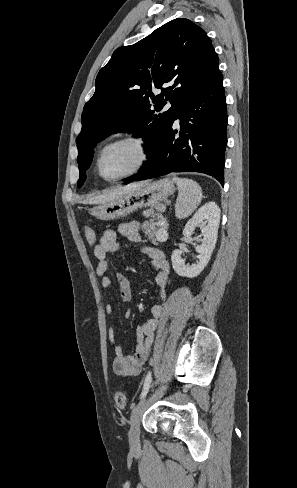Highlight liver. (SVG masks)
Instances as JSON below:
<instances>
[{
	"instance_id": "liver-1",
	"label": "liver",
	"mask_w": 297,
	"mask_h": 488,
	"mask_svg": "<svg viewBox=\"0 0 297 488\" xmlns=\"http://www.w3.org/2000/svg\"><path fill=\"white\" fill-rule=\"evenodd\" d=\"M146 184H148L147 181H142V182H139V183H130V184L124 186V187L115 189L113 191L106 192V193H104L102 195H97V196L93 197L92 199H90L89 202L90 203H105V202H109V201L115 200L116 198H118L123 193L130 192V191H135L138 188H141V187L145 186Z\"/></svg>"
}]
</instances>
